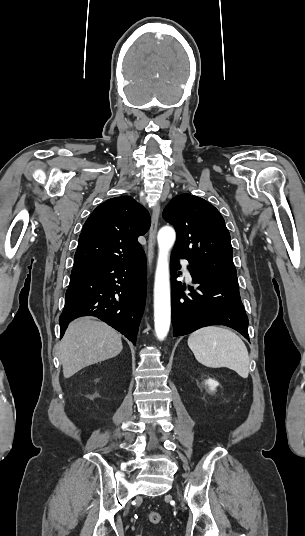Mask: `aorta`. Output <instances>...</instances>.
Listing matches in <instances>:
<instances>
[{"mask_svg": "<svg viewBox=\"0 0 305 536\" xmlns=\"http://www.w3.org/2000/svg\"><path fill=\"white\" fill-rule=\"evenodd\" d=\"M175 239V230L170 226L162 227L157 235L158 259L154 281V323L155 333L159 340L165 339L171 323L169 253Z\"/></svg>", "mask_w": 305, "mask_h": 536, "instance_id": "obj_1", "label": "aorta"}]
</instances>
